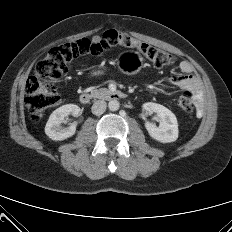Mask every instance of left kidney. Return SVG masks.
<instances>
[{
	"instance_id": "1",
	"label": "left kidney",
	"mask_w": 232,
	"mask_h": 232,
	"mask_svg": "<svg viewBox=\"0 0 232 232\" xmlns=\"http://www.w3.org/2000/svg\"><path fill=\"white\" fill-rule=\"evenodd\" d=\"M143 110L145 111V115L156 113L160 118L158 127L150 122L145 123L146 129L153 139L161 143H170L177 140L178 122L174 113L163 105L153 102L144 103ZM145 115H143V118H145Z\"/></svg>"
}]
</instances>
